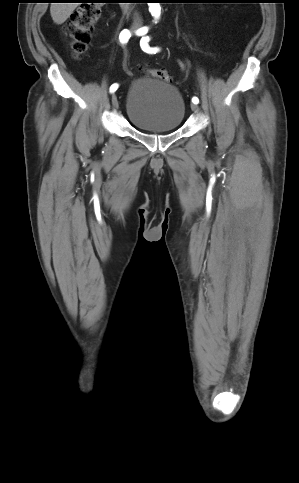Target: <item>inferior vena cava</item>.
<instances>
[{
  "mask_svg": "<svg viewBox=\"0 0 299 483\" xmlns=\"http://www.w3.org/2000/svg\"><path fill=\"white\" fill-rule=\"evenodd\" d=\"M141 25V19L137 17L133 22V28H138Z\"/></svg>",
  "mask_w": 299,
  "mask_h": 483,
  "instance_id": "obj_1",
  "label": "inferior vena cava"
}]
</instances>
